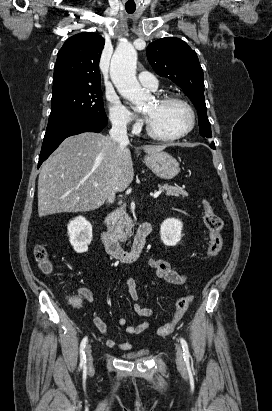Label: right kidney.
<instances>
[{"label":"right kidney","mask_w":272,"mask_h":411,"mask_svg":"<svg viewBox=\"0 0 272 411\" xmlns=\"http://www.w3.org/2000/svg\"><path fill=\"white\" fill-rule=\"evenodd\" d=\"M68 235L75 252H87L93 237L92 225L85 217L79 216L68 224Z\"/></svg>","instance_id":"1"}]
</instances>
